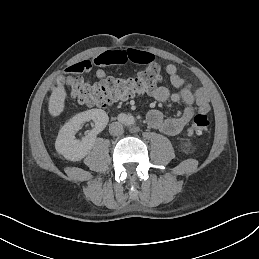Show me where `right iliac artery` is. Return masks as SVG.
Wrapping results in <instances>:
<instances>
[{
  "instance_id": "obj_1",
  "label": "right iliac artery",
  "mask_w": 259,
  "mask_h": 259,
  "mask_svg": "<svg viewBox=\"0 0 259 259\" xmlns=\"http://www.w3.org/2000/svg\"><path fill=\"white\" fill-rule=\"evenodd\" d=\"M118 120H119L120 122L124 123V122H126L127 117H126L125 114H119V115H118Z\"/></svg>"
}]
</instances>
